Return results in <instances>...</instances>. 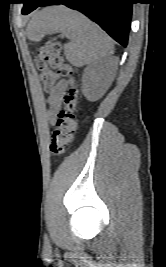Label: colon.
<instances>
[{"label": "colon", "mask_w": 166, "mask_h": 267, "mask_svg": "<svg viewBox=\"0 0 166 267\" xmlns=\"http://www.w3.org/2000/svg\"><path fill=\"white\" fill-rule=\"evenodd\" d=\"M35 64L42 72V82L48 90H52L58 76L71 77L72 75V68L65 62L61 45L55 39L46 41L38 49ZM49 67L55 69L56 72L49 71ZM78 100V89L73 81L64 95V105L57 114L52 131L50 152L54 156L63 154L73 139L76 130Z\"/></svg>", "instance_id": "obj_1"}]
</instances>
